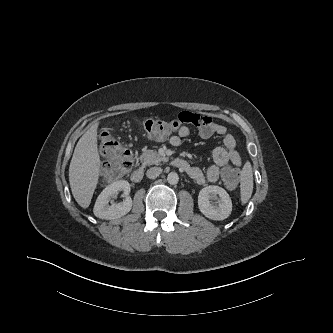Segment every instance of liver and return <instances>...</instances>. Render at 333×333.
<instances>
[{
    "label": "liver",
    "mask_w": 333,
    "mask_h": 333,
    "mask_svg": "<svg viewBox=\"0 0 333 333\" xmlns=\"http://www.w3.org/2000/svg\"><path fill=\"white\" fill-rule=\"evenodd\" d=\"M98 126V122L93 124L79 139L69 166L71 191L82 208L89 207L99 179Z\"/></svg>",
    "instance_id": "1"
}]
</instances>
